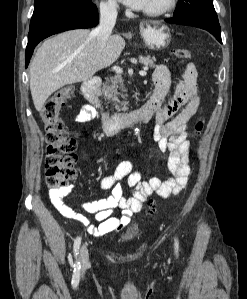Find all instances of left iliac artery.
<instances>
[{"label":"left iliac artery","mask_w":247,"mask_h":299,"mask_svg":"<svg viewBox=\"0 0 247 299\" xmlns=\"http://www.w3.org/2000/svg\"><path fill=\"white\" fill-rule=\"evenodd\" d=\"M179 245H178V240L175 239V251L178 253Z\"/></svg>","instance_id":"obj_1"}]
</instances>
